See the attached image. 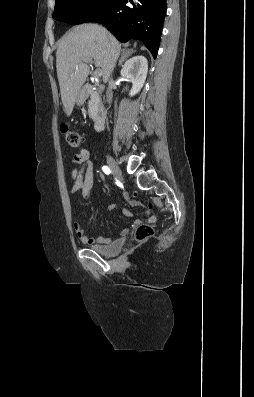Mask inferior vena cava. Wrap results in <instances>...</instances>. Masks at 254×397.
<instances>
[{"label":"inferior vena cava","instance_id":"602c4592","mask_svg":"<svg viewBox=\"0 0 254 397\" xmlns=\"http://www.w3.org/2000/svg\"><path fill=\"white\" fill-rule=\"evenodd\" d=\"M112 78L109 81V85L106 92L107 103L110 105L112 102L113 92H112Z\"/></svg>","mask_w":254,"mask_h":397}]
</instances>
